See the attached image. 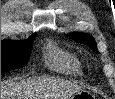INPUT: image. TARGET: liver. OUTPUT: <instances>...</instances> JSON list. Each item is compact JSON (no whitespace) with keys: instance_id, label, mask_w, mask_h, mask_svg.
<instances>
[{"instance_id":"obj_1","label":"liver","mask_w":115,"mask_h":99,"mask_svg":"<svg viewBox=\"0 0 115 99\" xmlns=\"http://www.w3.org/2000/svg\"><path fill=\"white\" fill-rule=\"evenodd\" d=\"M79 90L71 82L38 77L1 84V99H68Z\"/></svg>"}]
</instances>
